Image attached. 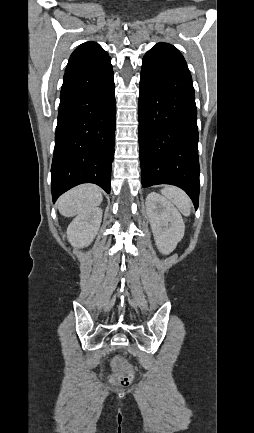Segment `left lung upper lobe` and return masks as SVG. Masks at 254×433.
<instances>
[{"label": "left lung upper lobe", "mask_w": 254, "mask_h": 433, "mask_svg": "<svg viewBox=\"0 0 254 433\" xmlns=\"http://www.w3.org/2000/svg\"><path fill=\"white\" fill-rule=\"evenodd\" d=\"M146 54L159 55L187 66L186 61L182 56V54L179 52V50L176 47H174L171 44L158 43Z\"/></svg>", "instance_id": "left-lung-upper-lobe-1"}]
</instances>
